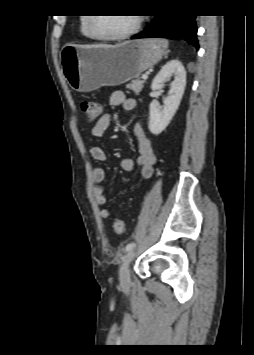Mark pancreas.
<instances>
[{"instance_id":"pancreas-1","label":"pancreas","mask_w":254,"mask_h":355,"mask_svg":"<svg viewBox=\"0 0 254 355\" xmlns=\"http://www.w3.org/2000/svg\"><path fill=\"white\" fill-rule=\"evenodd\" d=\"M144 82V80L137 78L131 83L127 84L126 88L132 90L136 95H138L142 91Z\"/></svg>"}]
</instances>
